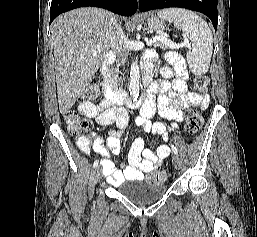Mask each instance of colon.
Here are the masks:
<instances>
[{
  "mask_svg": "<svg viewBox=\"0 0 257 237\" xmlns=\"http://www.w3.org/2000/svg\"><path fill=\"white\" fill-rule=\"evenodd\" d=\"M209 86V79L206 75L196 76L192 88L198 92H205ZM100 88L97 81H92L84 93V98L87 100H95L99 97ZM68 131L73 136H78L83 131H88L92 128V123L88 119L81 118L76 112L69 111L65 114ZM203 125V118L196 110L188 112L185 122L186 132L194 136L196 135ZM169 174L165 170L155 171L149 174L147 181L150 183H160L167 180Z\"/></svg>",
  "mask_w": 257,
  "mask_h": 237,
  "instance_id": "colon-1",
  "label": "colon"
}]
</instances>
